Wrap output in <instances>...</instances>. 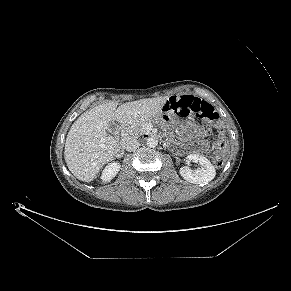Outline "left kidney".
<instances>
[{
  "label": "left kidney",
  "instance_id": "left-kidney-1",
  "mask_svg": "<svg viewBox=\"0 0 291 291\" xmlns=\"http://www.w3.org/2000/svg\"><path fill=\"white\" fill-rule=\"evenodd\" d=\"M186 161H193L200 165V168L196 170H192L188 166L180 168V174L186 181L193 184H207L214 179L215 168L206 157L199 154H190L186 157Z\"/></svg>",
  "mask_w": 291,
  "mask_h": 291
}]
</instances>
